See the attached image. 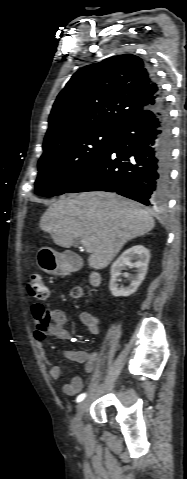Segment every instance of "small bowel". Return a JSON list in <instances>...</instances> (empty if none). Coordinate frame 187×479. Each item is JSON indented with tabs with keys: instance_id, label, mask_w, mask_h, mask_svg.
Listing matches in <instances>:
<instances>
[{
	"instance_id": "obj_1",
	"label": "small bowel",
	"mask_w": 187,
	"mask_h": 479,
	"mask_svg": "<svg viewBox=\"0 0 187 479\" xmlns=\"http://www.w3.org/2000/svg\"><path fill=\"white\" fill-rule=\"evenodd\" d=\"M52 319L55 324L52 330V336L59 340H68L71 337L70 331L66 329V315L62 310H52ZM78 318L83 325L86 326L88 331L97 335L100 332V320L97 315L87 311H79ZM38 351L43 361L45 362L48 373L51 379L58 380L61 377V368L55 365L47 355L42 343L38 344ZM64 358L70 361L81 363L83 370L87 374H93L95 365L97 362V353L88 352L84 350L65 349L62 352ZM83 387V382L80 377H74L69 383H66L62 387V391L67 396H74L78 394Z\"/></svg>"
}]
</instances>
